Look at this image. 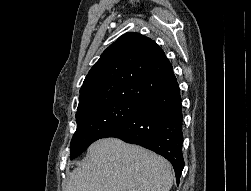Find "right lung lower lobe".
<instances>
[{"instance_id": "1", "label": "right lung lower lobe", "mask_w": 251, "mask_h": 191, "mask_svg": "<svg viewBox=\"0 0 251 191\" xmlns=\"http://www.w3.org/2000/svg\"><path fill=\"white\" fill-rule=\"evenodd\" d=\"M181 101L179 85L176 82L148 99L102 138H119L162 155L173 165L178 184L184 168Z\"/></svg>"}]
</instances>
